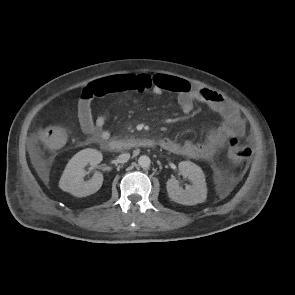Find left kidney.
<instances>
[{"instance_id": "5707ae66", "label": "left kidney", "mask_w": 295, "mask_h": 295, "mask_svg": "<svg viewBox=\"0 0 295 295\" xmlns=\"http://www.w3.org/2000/svg\"><path fill=\"white\" fill-rule=\"evenodd\" d=\"M180 173L190 179L191 186L185 189L179 187L178 180L171 178L166 187L169 197L176 203L183 205H196L202 203L207 197V186L202 169L190 161H182L178 165Z\"/></svg>"}]
</instances>
